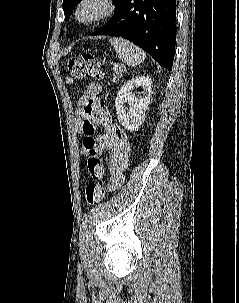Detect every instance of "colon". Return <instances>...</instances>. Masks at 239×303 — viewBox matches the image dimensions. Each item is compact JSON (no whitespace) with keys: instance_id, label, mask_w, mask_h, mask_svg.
Here are the masks:
<instances>
[{"instance_id":"5ec220e1","label":"colon","mask_w":239,"mask_h":303,"mask_svg":"<svg viewBox=\"0 0 239 303\" xmlns=\"http://www.w3.org/2000/svg\"><path fill=\"white\" fill-rule=\"evenodd\" d=\"M87 77H94L99 80L104 78L100 62L92 54L84 53L80 57L68 61L67 82L76 83ZM95 131V125L89 113V108H87L82 124V132L84 134L83 146L88 151L87 168L92 178V181L85 188V199L88 205L101 202L106 194L104 188L105 169L96 150Z\"/></svg>"}]
</instances>
